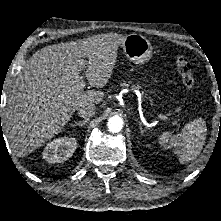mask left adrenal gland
<instances>
[{
  "label": "left adrenal gland",
  "instance_id": "left-adrenal-gland-1",
  "mask_svg": "<svg viewBox=\"0 0 221 221\" xmlns=\"http://www.w3.org/2000/svg\"><path fill=\"white\" fill-rule=\"evenodd\" d=\"M139 128H140V130H141V133H144V132L147 131L146 128H143V126H142V122H140V121H139Z\"/></svg>",
  "mask_w": 221,
  "mask_h": 221
}]
</instances>
